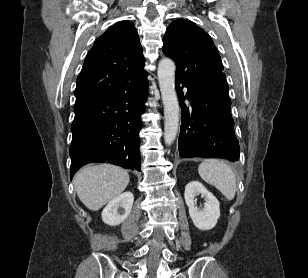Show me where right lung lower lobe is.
<instances>
[{
  "label": "right lung lower lobe",
  "mask_w": 308,
  "mask_h": 278,
  "mask_svg": "<svg viewBox=\"0 0 308 278\" xmlns=\"http://www.w3.org/2000/svg\"><path fill=\"white\" fill-rule=\"evenodd\" d=\"M146 77L127 92L74 106L71 178L81 165L90 162L140 171L138 134L148 89Z\"/></svg>",
  "instance_id": "98d812e1"
}]
</instances>
